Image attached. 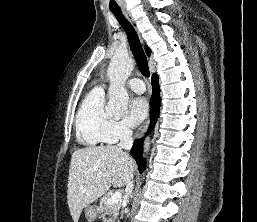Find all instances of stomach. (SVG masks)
<instances>
[{"label":"stomach","mask_w":257,"mask_h":222,"mask_svg":"<svg viewBox=\"0 0 257 222\" xmlns=\"http://www.w3.org/2000/svg\"><path fill=\"white\" fill-rule=\"evenodd\" d=\"M85 217L90 221H94L97 218V209L95 206H86L84 208Z\"/></svg>","instance_id":"0dacf381"}]
</instances>
